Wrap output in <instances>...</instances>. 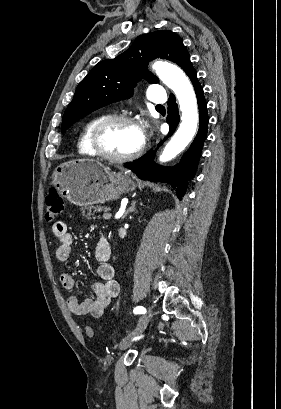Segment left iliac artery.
Listing matches in <instances>:
<instances>
[{
	"label": "left iliac artery",
	"instance_id": "left-iliac-artery-1",
	"mask_svg": "<svg viewBox=\"0 0 281 409\" xmlns=\"http://www.w3.org/2000/svg\"><path fill=\"white\" fill-rule=\"evenodd\" d=\"M135 314H145L146 313V309L142 306H138L134 309L133 311ZM140 337H136L135 340L139 339Z\"/></svg>",
	"mask_w": 281,
	"mask_h": 409
}]
</instances>
